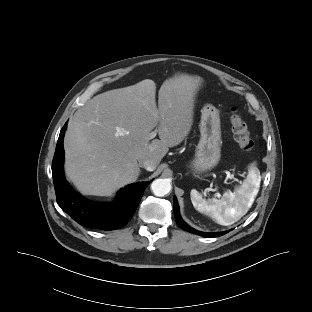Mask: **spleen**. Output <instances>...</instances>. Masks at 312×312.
<instances>
[{
    "label": "spleen",
    "instance_id": "1",
    "mask_svg": "<svg viewBox=\"0 0 312 312\" xmlns=\"http://www.w3.org/2000/svg\"><path fill=\"white\" fill-rule=\"evenodd\" d=\"M260 175L256 168L251 170L247 181L234 192H225L221 199L206 201L201 194L191 190L193 206L201 213L210 215L220 225L228 226L237 222L251 208L258 193Z\"/></svg>",
    "mask_w": 312,
    "mask_h": 312
}]
</instances>
